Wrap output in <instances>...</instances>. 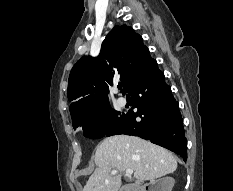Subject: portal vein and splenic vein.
Listing matches in <instances>:
<instances>
[{
    "mask_svg": "<svg viewBox=\"0 0 233 191\" xmlns=\"http://www.w3.org/2000/svg\"><path fill=\"white\" fill-rule=\"evenodd\" d=\"M118 173V170H112L111 171V174L112 175H116ZM133 174V170L132 169H128V170H126V175H132Z\"/></svg>",
    "mask_w": 233,
    "mask_h": 191,
    "instance_id": "portal-vein-and-splenic-vein-1",
    "label": "portal vein and splenic vein"
}]
</instances>
